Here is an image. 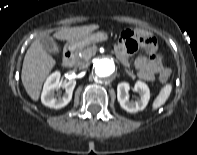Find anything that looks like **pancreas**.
Here are the masks:
<instances>
[{
    "instance_id": "cf45deb5",
    "label": "pancreas",
    "mask_w": 197,
    "mask_h": 155,
    "mask_svg": "<svg viewBox=\"0 0 197 155\" xmlns=\"http://www.w3.org/2000/svg\"><path fill=\"white\" fill-rule=\"evenodd\" d=\"M96 51L97 47L95 45L82 50L80 53V57H78L76 60V65L79 66L85 63L86 61L90 60L91 57L96 54Z\"/></svg>"
}]
</instances>
